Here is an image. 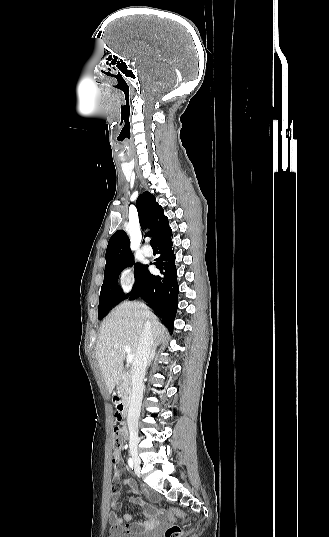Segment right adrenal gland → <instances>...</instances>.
I'll return each instance as SVG.
<instances>
[{
    "instance_id": "right-adrenal-gland-1",
    "label": "right adrenal gland",
    "mask_w": 329,
    "mask_h": 537,
    "mask_svg": "<svg viewBox=\"0 0 329 537\" xmlns=\"http://www.w3.org/2000/svg\"><path fill=\"white\" fill-rule=\"evenodd\" d=\"M158 346V342L155 341L153 347H152V350H151V353H150V357H149V360H148V366H150L152 360L154 359L155 357V351H156V348Z\"/></svg>"
}]
</instances>
